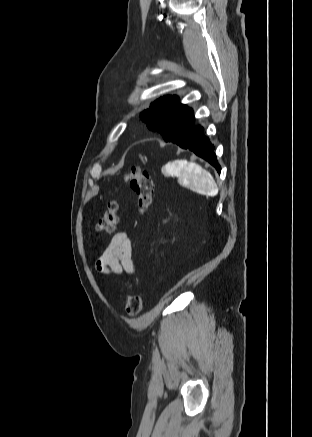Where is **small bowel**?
Listing matches in <instances>:
<instances>
[{
    "instance_id": "c3829d8e",
    "label": "small bowel",
    "mask_w": 312,
    "mask_h": 437,
    "mask_svg": "<svg viewBox=\"0 0 312 437\" xmlns=\"http://www.w3.org/2000/svg\"><path fill=\"white\" fill-rule=\"evenodd\" d=\"M96 269L103 274L134 273L132 247L125 232L116 233L96 262Z\"/></svg>"
}]
</instances>
